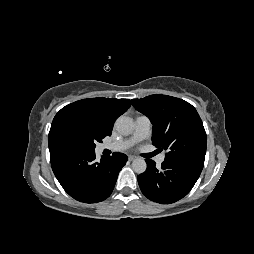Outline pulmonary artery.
<instances>
[{"label": "pulmonary artery", "mask_w": 254, "mask_h": 254, "mask_svg": "<svg viewBox=\"0 0 254 254\" xmlns=\"http://www.w3.org/2000/svg\"><path fill=\"white\" fill-rule=\"evenodd\" d=\"M152 124L147 116H139L135 121V128L132 135L126 139L111 143L104 144V149H110L114 151L126 150L136 143L146 139L151 133ZM165 155L161 154L156 158L157 163H162L164 161Z\"/></svg>", "instance_id": "obj_1"}]
</instances>
